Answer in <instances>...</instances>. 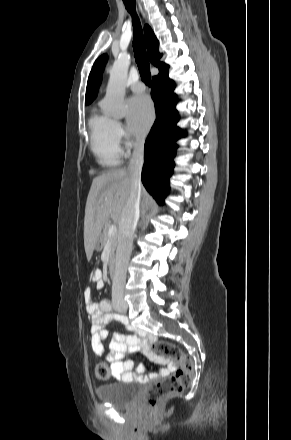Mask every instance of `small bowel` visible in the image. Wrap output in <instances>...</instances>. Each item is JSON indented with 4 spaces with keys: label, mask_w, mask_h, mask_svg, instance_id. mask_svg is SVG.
<instances>
[{
    "label": "small bowel",
    "mask_w": 291,
    "mask_h": 440,
    "mask_svg": "<svg viewBox=\"0 0 291 440\" xmlns=\"http://www.w3.org/2000/svg\"><path fill=\"white\" fill-rule=\"evenodd\" d=\"M92 280L98 288L103 287L100 271L93 273ZM83 296L86 310L92 319L90 341L92 350L102 361L110 365L113 376L145 383L158 377L167 376L176 370V361L151 357L154 362L164 365V367L145 374V367L140 365L137 371L132 372L134 362L127 359V357L137 349L148 354L149 343L155 341L156 336L146 331H136L133 335L117 332L113 334L109 344L106 345L105 342L108 339L107 324L110 321L124 322L126 319L111 313V305L107 300L102 301L100 305L94 303L89 288L84 290Z\"/></svg>",
    "instance_id": "1"
}]
</instances>
